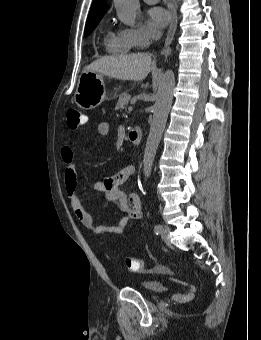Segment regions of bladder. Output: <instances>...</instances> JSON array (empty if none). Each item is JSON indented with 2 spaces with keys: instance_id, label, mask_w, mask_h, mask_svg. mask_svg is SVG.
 Listing matches in <instances>:
<instances>
[{
  "instance_id": "bladder-1",
  "label": "bladder",
  "mask_w": 261,
  "mask_h": 340,
  "mask_svg": "<svg viewBox=\"0 0 261 340\" xmlns=\"http://www.w3.org/2000/svg\"><path fill=\"white\" fill-rule=\"evenodd\" d=\"M138 288L148 294H158L165 288L164 283L160 280H150L142 282L138 285Z\"/></svg>"
}]
</instances>
